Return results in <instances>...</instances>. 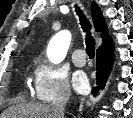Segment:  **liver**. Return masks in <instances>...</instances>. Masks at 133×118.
<instances>
[{"label": "liver", "instance_id": "6515ba94", "mask_svg": "<svg viewBox=\"0 0 133 118\" xmlns=\"http://www.w3.org/2000/svg\"><path fill=\"white\" fill-rule=\"evenodd\" d=\"M0 118H53L51 107L44 104H19L5 110Z\"/></svg>", "mask_w": 133, "mask_h": 118}]
</instances>
